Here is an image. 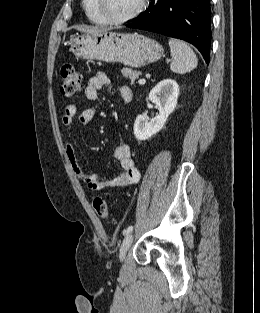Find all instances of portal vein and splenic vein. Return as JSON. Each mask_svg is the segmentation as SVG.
<instances>
[{"instance_id": "obj_1", "label": "portal vein and splenic vein", "mask_w": 260, "mask_h": 313, "mask_svg": "<svg viewBox=\"0 0 260 313\" xmlns=\"http://www.w3.org/2000/svg\"><path fill=\"white\" fill-rule=\"evenodd\" d=\"M138 83H139V84H145V83H146V80H145V79H140V80L138 81Z\"/></svg>"}]
</instances>
